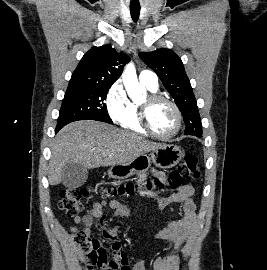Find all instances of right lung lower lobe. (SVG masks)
Here are the masks:
<instances>
[{"instance_id": "obj_1", "label": "right lung lower lobe", "mask_w": 267, "mask_h": 270, "mask_svg": "<svg viewBox=\"0 0 267 270\" xmlns=\"http://www.w3.org/2000/svg\"><path fill=\"white\" fill-rule=\"evenodd\" d=\"M60 129V127H56L55 133H57Z\"/></svg>"}]
</instances>
